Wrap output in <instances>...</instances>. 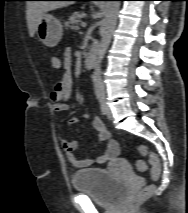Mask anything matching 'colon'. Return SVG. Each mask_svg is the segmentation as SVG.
<instances>
[{
	"label": "colon",
	"mask_w": 188,
	"mask_h": 213,
	"mask_svg": "<svg viewBox=\"0 0 188 213\" xmlns=\"http://www.w3.org/2000/svg\"><path fill=\"white\" fill-rule=\"evenodd\" d=\"M51 65L55 69L60 68V63L58 59H56L55 57L51 58ZM138 152L141 155L148 157V161L150 165L152 166V171H151L152 178L157 179L161 171V165H160V161L158 157L154 153H152L149 150V148L145 145L139 146ZM136 167L138 170L144 171L146 169V164L143 161H137ZM151 193H152V187L142 186L131 196L130 202L133 204H137L143 201L144 199H146L147 197H149Z\"/></svg>",
	"instance_id": "obj_1"
}]
</instances>
